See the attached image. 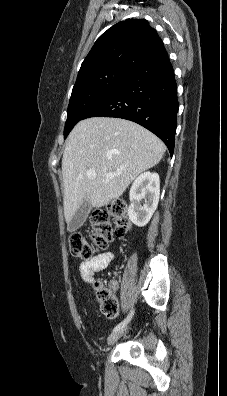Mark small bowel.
I'll return each mask as SVG.
<instances>
[{
	"label": "small bowel",
	"mask_w": 227,
	"mask_h": 396,
	"mask_svg": "<svg viewBox=\"0 0 227 396\" xmlns=\"http://www.w3.org/2000/svg\"><path fill=\"white\" fill-rule=\"evenodd\" d=\"M114 255L111 252L101 253L94 256L93 258L86 260L80 265V275L84 282L91 283L94 279V275L104 270L113 260ZM118 288L117 282L111 284V289L116 291Z\"/></svg>",
	"instance_id": "c3829d8e"
}]
</instances>
